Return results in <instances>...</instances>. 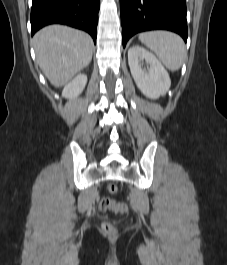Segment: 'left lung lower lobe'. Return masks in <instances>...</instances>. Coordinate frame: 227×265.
I'll list each match as a JSON object with an SVG mask.
<instances>
[{
    "mask_svg": "<svg viewBox=\"0 0 227 265\" xmlns=\"http://www.w3.org/2000/svg\"><path fill=\"white\" fill-rule=\"evenodd\" d=\"M122 41L125 47L134 34L166 29L187 41L185 0H120Z\"/></svg>",
    "mask_w": 227,
    "mask_h": 265,
    "instance_id": "left-lung-lower-lobe-1",
    "label": "left lung lower lobe"
}]
</instances>
